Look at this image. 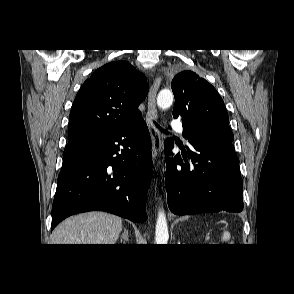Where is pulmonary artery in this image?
I'll list each match as a JSON object with an SVG mask.
<instances>
[{
    "label": "pulmonary artery",
    "mask_w": 294,
    "mask_h": 294,
    "mask_svg": "<svg viewBox=\"0 0 294 294\" xmlns=\"http://www.w3.org/2000/svg\"><path fill=\"white\" fill-rule=\"evenodd\" d=\"M172 128L177 132H182L184 129L182 123L178 120L172 122Z\"/></svg>",
    "instance_id": "1"
}]
</instances>
